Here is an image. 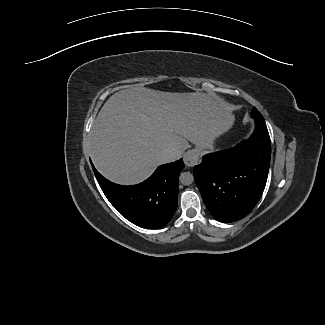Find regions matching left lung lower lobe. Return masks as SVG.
<instances>
[{"mask_svg":"<svg viewBox=\"0 0 325 325\" xmlns=\"http://www.w3.org/2000/svg\"><path fill=\"white\" fill-rule=\"evenodd\" d=\"M255 131L233 148L206 154L193 170L206 207L220 222L248 215L259 201L268 176L271 142L263 117Z\"/></svg>","mask_w":325,"mask_h":325,"instance_id":"1","label":"left lung lower lobe"}]
</instances>
